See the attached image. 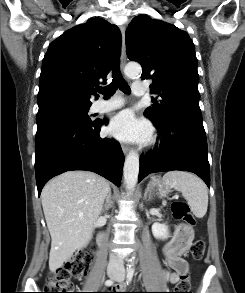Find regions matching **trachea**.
Listing matches in <instances>:
<instances>
[{"instance_id":"1","label":"trachea","mask_w":245,"mask_h":293,"mask_svg":"<svg viewBox=\"0 0 245 293\" xmlns=\"http://www.w3.org/2000/svg\"><path fill=\"white\" fill-rule=\"evenodd\" d=\"M112 77V82L108 86L104 88H97V91L100 94H103L106 98H108L113 95L118 88L125 94H129L131 92L129 85L120 73L119 64H116L114 67Z\"/></svg>"}]
</instances>
